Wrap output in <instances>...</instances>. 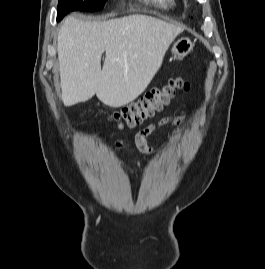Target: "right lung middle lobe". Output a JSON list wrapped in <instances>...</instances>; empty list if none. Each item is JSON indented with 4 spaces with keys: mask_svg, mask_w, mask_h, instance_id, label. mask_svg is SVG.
Returning a JSON list of instances; mask_svg holds the SVG:
<instances>
[{
    "mask_svg": "<svg viewBox=\"0 0 265 269\" xmlns=\"http://www.w3.org/2000/svg\"><path fill=\"white\" fill-rule=\"evenodd\" d=\"M107 0H59L57 20L74 10L97 11L103 8Z\"/></svg>",
    "mask_w": 265,
    "mask_h": 269,
    "instance_id": "obj_1",
    "label": "right lung middle lobe"
}]
</instances>
